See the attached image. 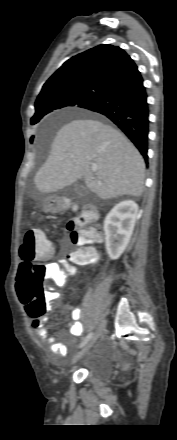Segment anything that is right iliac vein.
Returning <instances> with one entry per match:
<instances>
[{
    "mask_svg": "<svg viewBox=\"0 0 177 440\" xmlns=\"http://www.w3.org/2000/svg\"><path fill=\"white\" fill-rule=\"evenodd\" d=\"M106 322L105 320H102L99 323V326L97 328L96 333L94 336L89 340L87 345L73 358V363L77 362L80 358H82L89 350L90 348L95 344L96 340L102 336L103 332L105 331Z\"/></svg>",
    "mask_w": 177,
    "mask_h": 440,
    "instance_id": "obj_1",
    "label": "right iliac vein"
}]
</instances>
